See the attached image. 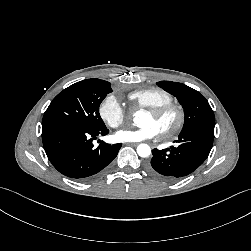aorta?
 <instances>
[{
  "label": "aorta",
  "instance_id": "obj_1",
  "mask_svg": "<svg viewBox=\"0 0 251 251\" xmlns=\"http://www.w3.org/2000/svg\"><path fill=\"white\" fill-rule=\"evenodd\" d=\"M137 153L140 157H148L151 154V148L147 144H139L137 146Z\"/></svg>",
  "mask_w": 251,
  "mask_h": 251
}]
</instances>
